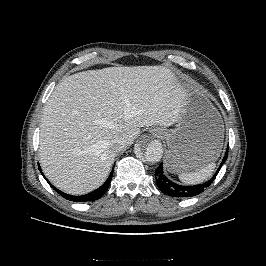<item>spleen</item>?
Listing matches in <instances>:
<instances>
[{
  "label": "spleen",
  "instance_id": "1",
  "mask_svg": "<svg viewBox=\"0 0 266 266\" xmlns=\"http://www.w3.org/2000/svg\"><path fill=\"white\" fill-rule=\"evenodd\" d=\"M215 167V163H210L198 171L181 173L179 179L188 185L199 184L212 176Z\"/></svg>",
  "mask_w": 266,
  "mask_h": 266
}]
</instances>
